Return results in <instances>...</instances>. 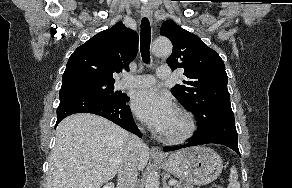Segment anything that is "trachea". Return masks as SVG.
Listing matches in <instances>:
<instances>
[{"label": "trachea", "mask_w": 292, "mask_h": 188, "mask_svg": "<svg viewBox=\"0 0 292 188\" xmlns=\"http://www.w3.org/2000/svg\"><path fill=\"white\" fill-rule=\"evenodd\" d=\"M150 43H151V28L149 20L144 17L141 21V42L140 51L142 60L145 63L150 62Z\"/></svg>", "instance_id": "obj_1"}]
</instances>
